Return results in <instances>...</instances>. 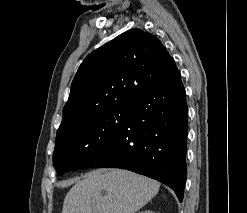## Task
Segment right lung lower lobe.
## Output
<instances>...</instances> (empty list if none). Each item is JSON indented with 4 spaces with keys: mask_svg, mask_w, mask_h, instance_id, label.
<instances>
[{
    "mask_svg": "<svg viewBox=\"0 0 247 213\" xmlns=\"http://www.w3.org/2000/svg\"><path fill=\"white\" fill-rule=\"evenodd\" d=\"M129 101L131 115L95 164L154 178L172 188L182 202L187 177L188 108L180 72Z\"/></svg>",
    "mask_w": 247,
    "mask_h": 213,
    "instance_id": "right-lung-lower-lobe-1",
    "label": "right lung lower lobe"
}]
</instances>
